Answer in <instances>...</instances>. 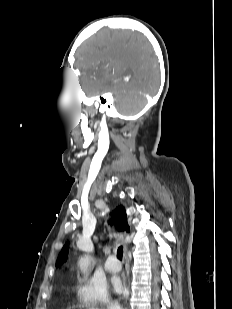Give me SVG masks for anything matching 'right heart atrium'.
Instances as JSON below:
<instances>
[{
    "label": "right heart atrium",
    "mask_w": 232,
    "mask_h": 309,
    "mask_svg": "<svg viewBox=\"0 0 232 309\" xmlns=\"http://www.w3.org/2000/svg\"><path fill=\"white\" fill-rule=\"evenodd\" d=\"M76 296L81 304L90 307L112 305L106 289L90 280H81L76 285Z\"/></svg>",
    "instance_id": "1"
}]
</instances>
